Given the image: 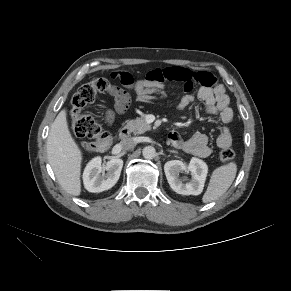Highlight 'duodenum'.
Instances as JSON below:
<instances>
[{
  "mask_svg": "<svg viewBox=\"0 0 291 291\" xmlns=\"http://www.w3.org/2000/svg\"><path fill=\"white\" fill-rule=\"evenodd\" d=\"M130 136V129L129 127L125 126L123 128L120 129L119 131V138L121 140H125Z\"/></svg>",
  "mask_w": 291,
  "mask_h": 291,
  "instance_id": "obj_1",
  "label": "duodenum"
}]
</instances>
